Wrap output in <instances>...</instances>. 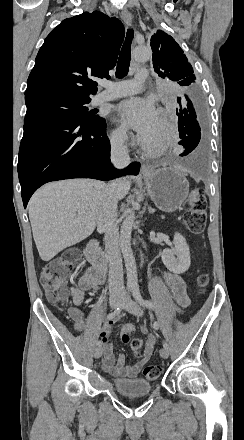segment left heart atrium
<instances>
[{
	"mask_svg": "<svg viewBox=\"0 0 244 440\" xmlns=\"http://www.w3.org/2000/svg\"><path fill=\"white\" fill-rule=\"evenodd\" d=\"M120 120L141 134H146L154 125L157 117L156 108L150 100L132 98L117 107Z\"/></svg>",
	"mask_w": 244,
	"mask_h": 440,
	"instance_id": "left-heart-atrium-1",
	"label": "left heart atrium"
}]
</instances>
